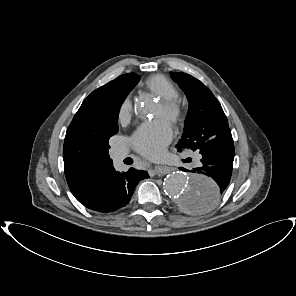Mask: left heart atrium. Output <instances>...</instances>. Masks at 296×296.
<instances>
[{
    "label": "left heart atrium",
    "instance_id": "obj_1",
    "mask_svg": "<svg viewBox=\"0 0 296 296\" xmlns=\"http://www.w3.org/2000/svg\"><path fill=\"white\" fill-rule=\"evenodd\" d=\"M173 131L168 121L158 119L140 125L131 137L134 149L146 157H157L172 140Z\"/></svg>",
    "mask_w": 296,
    "mask_h": 296
}]
</instances>
